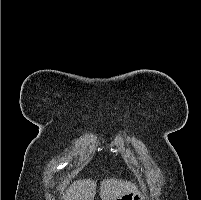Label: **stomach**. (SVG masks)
I'll return each instance as SVG.
<instances>
[{"instance_id": "stomach-1", "label": "stomach", "mask_w": 201, "mask_h": 200, "mask_svg": "<svg viewBox=\"0 0 201 200\" xmlns=\"http://www.w3.org/2000/svg\"><path fill=\"white\" fill-rule=\"evenodd\" d=\"M117 200H144L140 192H131L119 197Z\"/></svg>"}]
</instances>
